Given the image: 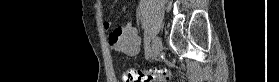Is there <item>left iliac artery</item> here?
<instances>
[{
  "instance_id": "obj_1",
  "label": "left iliac artery",
  "mask_w": 279,
  "mask_h": 82,
  "mask_svg": "<svg viewBox=\"0 0 279 82\" xmlns=\"http://www.w3.org/2000/svg\"><path fill=\"white\" fill-rule=\"evenodd\" d=\"M150 41H151V33L149 28L146 26L144 30V48H145V56L147 58L150 56Z\"/></svg>"
}]
</instances>
